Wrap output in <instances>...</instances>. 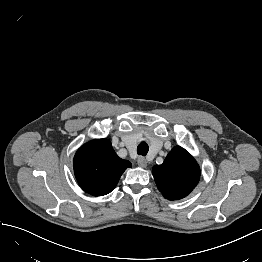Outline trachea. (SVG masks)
Instances as JSON below:
<instances>
[{"label":"trachea","instance_id":"1","mask_svg":"<svg viewBox=\"0 0 262 262\" xmlns=\"http://www.w3.org/2000/svg\"><path fill=\"white\" fill-rule=\"evenodd\" d=\"M149 146L146 142H141L137 147L138 155L145 156L148 153Z\"/></svg>","mask_w":262,"mask_h":262}]
</instances>
